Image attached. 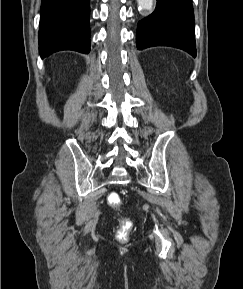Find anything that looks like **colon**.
I'll return each instance as SVG.
<instances>
[{
	"instance_id": "5ec220e1",
	"label": "colon",
	"mask_w": 243,
	"mask_h": 289,
	"mask_svg": "<svg viewBox=\"0 0 243 289\" xmlns=\"http://www.w3.org/2000/svg\"><path fill=\"white\" fill-rule=\"evenodd\" d=\"M108 203L109 205L114 208L118 209L121 206V198L118 193L112 192L108 195ZM132 228V223L128 219H124L121 222V225L117 231V237L121 241H126L128 239L130 230Z\"/></svg>"
}]
</instances>
